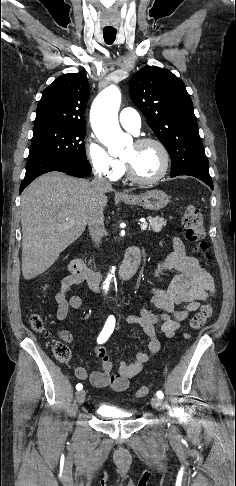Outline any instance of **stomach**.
I'll use <instances>...</instances> for the list:
<instances>
[{
	"label": "stomach",
	"mask_w": 236,
	"mask_h": 486,
	"mask_svg": "<svg viewBox=\"0 0 236 486\" xmlns=\"http://www.w3.org/2000/svg\"><path fill=\"white\" fill-rule=\"evenodd\" d=\"M122 200L129 205H140L145 209L158 211L168 204L169 197L161 190H150L140 195L125 197Z\"/></svg>",
	"instance_id": "obj_1"
}]
</instances>
